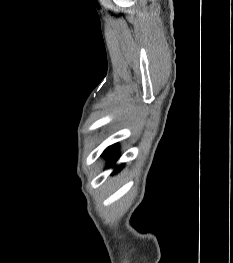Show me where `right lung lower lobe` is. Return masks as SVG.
Listing matches in <instances>:
<instances>
[{"mask_svg":"<svg viewBox=\"0 0 233 263\" xmlns=\"http://www.w3.org/2000/svg\"><path fill=\"white\" fill-rule=\"evenodd\" d=\"M116 151H117V144H114V145L108 147L103 153L104 156L109 158V164H108L109 167L113 166L115 164L116 160L118 159ZM122 167H123V165L116 167L114 172L115 173L118 172Z\"/></svg>","mask_w":233,"mask_h":263,"instance_id":"obj_1","label":"right lung lower lobe"}]
</instances>
